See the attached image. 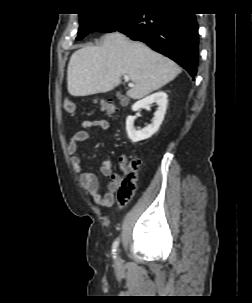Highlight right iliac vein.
Listing matches in <instances>:
<instances>
[{"mask_svg": "<svg viewBox=\"0 0 252 303\" xmlns=\"http://www.w3.org/2000/svg\"><path fill=\"white\" fill-rule=\"evenodd\" d=\"M116 263H119V258L116 259Z\"/></svg>", "mask_w": 252, "mask_h": 303, "instance_id": "obj_1", "label": "right iliac vein"}]
</instances>
